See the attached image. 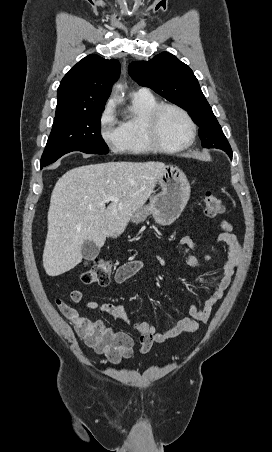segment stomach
Listing matches in <instances>:
<instances>
[{"mask_svg":"<svg viewBox=\"0 0 272 452\" xmlns=\"http://www.w3.org/2000/svg\"><path fill=\"white\" fill-rule=\"evenodd\" d=\"M161 192L150 202L133 213V223L143 222L152 215L155 222L166 226L172 224L182 213L190 197V184L184 172L177 166L167 165L158 179Z\"/></svg>","mask_w":272,"mask_h":452,"instance_id":"obj_1","label":"stomach"}]
</instances>
